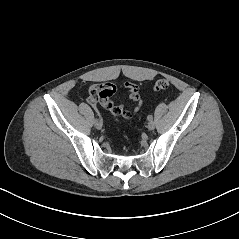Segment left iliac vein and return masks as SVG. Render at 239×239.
I'll return each mask as SVG.
<instances>
[{"mask_svg": "<svg viewBox=\"0 0 239 239\" xmlns=\"http://www.w3.org/2000/svg\"><path fill=\"white\" fill-rule=\"evenodd\" d=\"M155 128V123H154V121H150L149 123H148V129L149 130H153Z\"/></svg>", "mask_w": 239, "mask_h": 239, "instance_id": "1", "label": "left iliac vein"}]
</instances>
